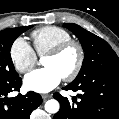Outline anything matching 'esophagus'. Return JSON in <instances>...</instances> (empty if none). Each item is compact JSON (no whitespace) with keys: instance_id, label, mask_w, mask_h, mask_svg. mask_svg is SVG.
<instances>
[{"instance_id":"obj_1","label":"esophagus","mask_w":119,"mask_h":119,"mask_svg":"<svg viewBox=\"0 0 119 119\" xmlns=\"http://www.w3.org/2000/svg\"><path fill=\"white\" fill-rule=\"evenodd\" d=\"M42 98H43L44 101H46L49 98H51V95L50 94H44V95H42Z\"/></svg>"}]
</instances>
